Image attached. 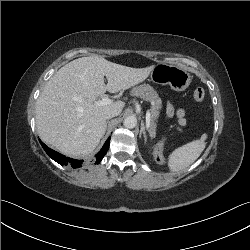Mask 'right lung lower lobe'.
Instances as JSON below:
<instances>
[{
	"mask_svg": "<svg viewBox=\"0 0 250 250\" xmlns=\"http://www.w3.org/2000/svg\"><path fill=\"white\" fill-rule=\"evenodd\" d=\"M39 141H40L41 146L45 150V152L48 154V156L51 157L60 165L70 164L73 168H78L82 165L83 160H76V159L65 157L64 155H61L60 153H57L54 150L47 147L41 140ZM109 144H110V137L107 139L102 149L95 155L96 164H99L101 160L103 159L104 155L107 153L109 149Z\"/></svg>",
	"mask_w": 250,
	"mask_h": 250,
	"instance_id": "1",
	"label": "right lung lower lobe"
}]
</instances>
